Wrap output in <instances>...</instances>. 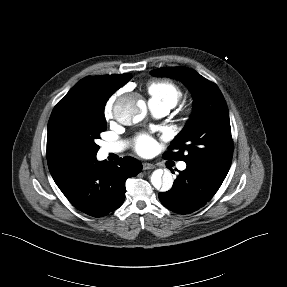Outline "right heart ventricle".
I'll list each match as a JSON object with an SVG mask.
<instances>
[{
    "label": "right heart ventricle",
    "instance_id": "e07e8e85",
    "mask_svg": "<svg viewBox=\"0 0 287 287\" xmlns=\"http://www.w3.org/2000/svg\"><path fill=\"white\" fill-rule=\"evenodd\" d=\"M150 102L174 107L182 96L180 87L169 80L151 81L147 86Z\"/></svg>",
    "mask_w": 287,
    "mask_h": 287
}]
</instances>
